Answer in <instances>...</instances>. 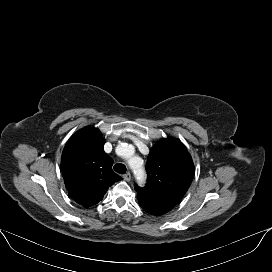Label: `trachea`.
I'll return each instance as SVG.
<instances>
[{
    "label": "trachea",
    "instance_id": "1",
    "mask_svg": "<svg viewBox=\"0 0 272 272\" xmlns=\"http://www.w3.org/2000/svg\"><path fill=\"white\" fill-rule=\"evenodd\" d=\"M113 168L119 174H125L126 173V166L124 164L118 163Z\"/></svg>",
    "mask_w": 272,
    "mask_h": 272
}]
</instances>
